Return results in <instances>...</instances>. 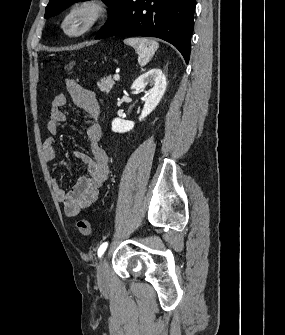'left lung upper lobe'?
Segmentation results:
<instances>
[{"label": "left lung upper lobe", "instance_id": "1", "mask_svg": "<svg viewBox=\"0 0 285 335\" xmlns=\"http://www.w3.org/2000/svg\"><path fill=\"white\" fill-rule=\"evenodd\" d=\"M78 0H50L46 7V13L45 18H49L51 16L56 15L59 13L62 9L69 6L73 2H76ZM106 4H108L109 7V13L113 10V8L118 4L120 0H103Z\"/></svg>", "mask_w": 285, "mask_h": 335}]
</instances>
